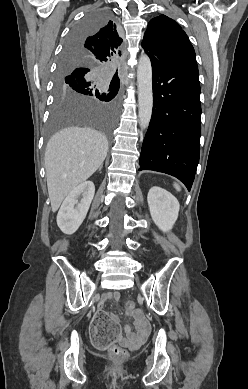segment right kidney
Masks as SVG:
<instances>
[{
    "label": "right kidney",
    "mask_w": 248,
    "mask_h": 389,
    "mask_svg": "<svg viewBox=\"0 0 248 389\" xmlns=\"http://www.w3.org/2000/svg\"><path fill=\"white\" fill-rule=\"evenodd\" d=\"M94 193L93 182L85 181L67 195L57 214V225L63 233L70 235L76 232L87 215ZM80 195L83 198L78 202Z\"/></svg>",
    "instance_id": "ca27d5eb"
}]
</instances>
